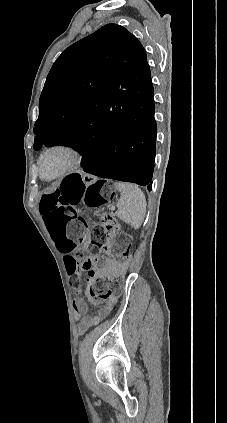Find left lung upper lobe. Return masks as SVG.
<instances>
[{
	"label": "left lung upper lobe",
	"instance_id": "left-lung-upper-lobe-1",
	"mask_svg": "<svg viewBox=\"0 0 227 423\" xmlns=\"http://www.w3.org/2000/svg\"><path fill=\"white\" fill-rule=\"evenodd\" d=\"M152 89L141 43L124 27L105 25L53 64L39 100L33 148L84 137L112 111L142 112Z\"/></svg>",
	"mask_w": 227,
	"mask_h": 423
}]
</instances>
